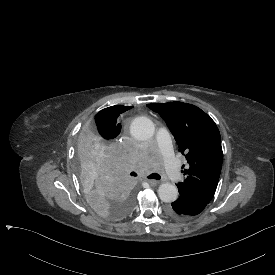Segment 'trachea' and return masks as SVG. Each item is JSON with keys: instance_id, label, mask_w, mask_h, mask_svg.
<instances>
[{"instance_id": "trachea-1", "label": "trachea", "mask_w": 275, "mask_h": 275, "mask_svg": "<svg viewBox=\"0 0 275 275\" xmlns=\"http://www.w3.org/2000/svg\"><path fill=\"white\" fill-rule=\"evenodd\" d=\"M131 176H137L136 173L132 172L130 173ZM149 179H156V180H159L161 178V176L157 173H153L151 175L148 176Z\"/></svg>"}]
</instances>
